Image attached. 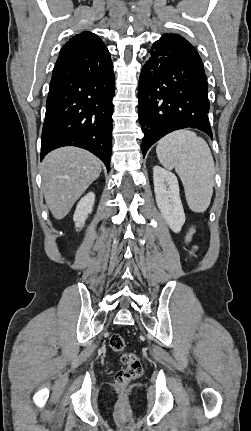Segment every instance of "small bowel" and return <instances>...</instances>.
Segmentation results:
<instances>
[{"mask_svg": "<svg viewBox=\"0 0 251 431\" xmlns=\"http://www.w3.org/2000/svg\"><path fill=\"white\" fill-rule=\"evenodd\" d=\"M194 233H195V227L192 226V227H190V229H189V231H188V233L186 235V238H185L186 242H189L192 239V236L194 235ZM196 250H197V247L193 246L191 248L190 254L193 255Z\"/></svg>", "mask_w": 251, "mask_h": 431, "instance_id": "c3829d8e", "label": "small bowel"}]
</instances>
